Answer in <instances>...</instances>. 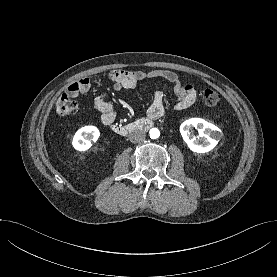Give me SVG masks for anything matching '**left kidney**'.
<instances>
[{
	"label": "left kidney",
	"instance_id": "obj_1",
	"mask_svg": "<svg viewBox=\"0 0 277 277\" xmlns=\"http://www.w3.org/2000/svg\"><path fill=\"white\" fill-rule=\"evenodd\" d=\"M198 129L201 139H196L190 130ZM180 133L189 149L195 153H206L211 151L221 137L220 129L202 118H191L184 121L180 126Z\"/></svg>",
	"mask_w": 277,
	"mask_h": 277
}]
</instances>
